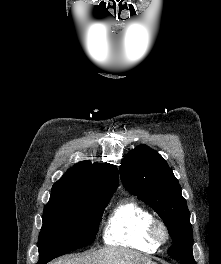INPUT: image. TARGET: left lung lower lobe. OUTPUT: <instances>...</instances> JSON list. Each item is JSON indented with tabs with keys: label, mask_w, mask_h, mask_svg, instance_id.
<instances>
[{
	"label": "left lung lower lobe",
	"mask_w": 221,
	"mask_h": 264,
	"mask_svg": "<svg viewBox=\"0 0 221 264\" xmlns=\"http://www.w3.org/2000/svg\"><path fill=\"white\" fill-rule=\"evenodd\" d=\"M183 264H197L193 258L180 260Z\"/></svg>",
	"instance_id": "left-lung-lower-lobe-1"
}]
</instances>
